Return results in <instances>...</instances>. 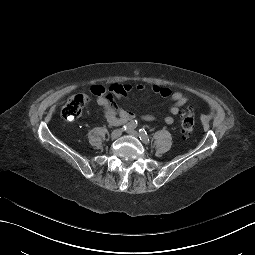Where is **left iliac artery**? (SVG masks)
Here are the masks:
<instances>
[{"label":"left iliac artery","mask_w":255,"mask_h":255,"mask_svg":"<svg viewBox=\"0 0 255 255\" xmlns=\"http://www.w3.org/2000/svg\"><path fill=\"white\" fill-rule=\"evenodd\" d=\"M139 135H140V139L144 141L145 143L150 142L149 136L144 128L139 129Z\"/></svg>","instance_id":"obj_1"}]
</instances>
